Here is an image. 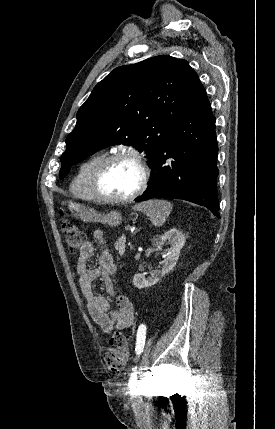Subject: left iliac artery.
Listing matches in <instances>:
<instances>
[{
  "instance_id": "44dca946",
  "label": "left iliac artery",
  "mask_w": 275,
  "mask_h": 429,
  "mask_svg": "<svg viewBox=\"0 0 275 429\" xmlns=\"http://www.w3.org/2000/svg\"><path fill=\"white\" fill-rule=\"evenodd\" d=\"M146 332L147 328L145 324H141L138 327L137 330V336H136V354L140 356V354L143 352L144 346H145V339H146ZM137 380V367H133L132 372L130 374L129 378V385L134 386L136 384Z\"/></svg>"
}]
</instances>
